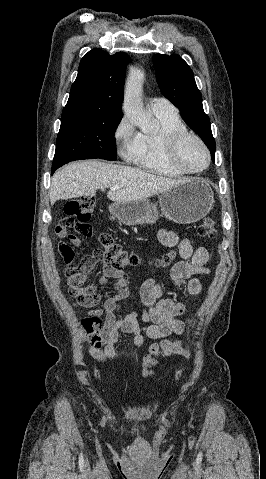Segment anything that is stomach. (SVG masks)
Here are the masks:
<instances>
[{"instance_id":"stomach-1","label":"stomach","mask_w":266,"mask_h":479,"mask_svg":"<svg viewBox=\"0 0 266 479\" xmlns=\"http://www.w3.org/2000/svg\"><path fill=\"white\" fill-rule=\"evenodd\" d=\"M214 195L208 183L188 179L162 192L159 206L162 214L179 224H191L204 218L212 208ZM110 213L125 225L153 224L159 217L155 204L147 199L115 202Z\"/></svg>"}]
</instances>
